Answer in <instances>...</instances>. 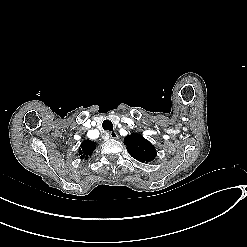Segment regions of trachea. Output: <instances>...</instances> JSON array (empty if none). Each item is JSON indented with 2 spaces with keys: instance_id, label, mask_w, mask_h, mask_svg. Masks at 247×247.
<instances>
[{
  "instance_id": "1",
  "label": "trachea",
  "mask_w": 247,
  "mask_h": 247,
  "mask_svg": "<svg viewBox=\"0 0 247 247\" xmlns=\"http://www.w3.org/2000/svg\"><path fill=\"white\" fill-rule=\"evenodd\" d=\"M102 127H103L104 130H107V131H112L113 130V124L108 119L103 121Z\"/></svg>"
}]
</instances>
